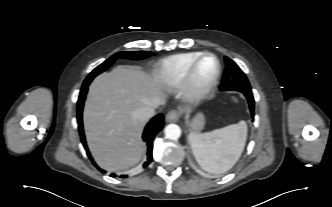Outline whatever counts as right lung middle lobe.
Returning a JSON list of instances; mask_svg holds the SVG:
<instances>
[{"label":"right lung middle lobe","instance_id":"obj_1","mask_svg":"<svg viewBox=\"0 0 332 207\" xmlns=\"http://www.w3.org/2000/svg\"><path fill=\"white\" fill-rule=\"evenodd\" d=\"M154 55L152 52L148 51H130V52H117L109 59H107L104 63L96 67L85 79L83 85H89L94 77L98 74L104 72L108 69L117 59H132V60H140L147 58L149 56Z\"/></svg>","mask_w":332,"mask_h":207}]
</instances>
